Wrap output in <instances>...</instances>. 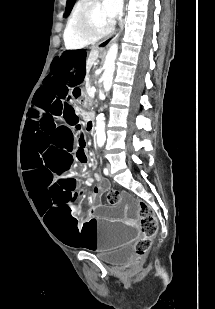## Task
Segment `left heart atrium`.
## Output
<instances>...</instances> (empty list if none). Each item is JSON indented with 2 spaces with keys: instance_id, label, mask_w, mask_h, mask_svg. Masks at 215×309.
Returning a JSON list of instances; mask_svg holds the SVG:
<instances>
[{
  "instance_id": "obj_1",
  "label": "left heart atrium",
  "mask_w": 215,
  "mask_h": 309,
  "mask_svg": "<svg viewBox=\"0 0 215 309\" xmlns=\"http://www.w3.org/2000/svg\"><path fill=\"white\" fill-rule=\"evenodd\" d=\"M106 9L102 13L101 20H116L120 12H123L124 7L120 5V0H106Z\"/></svg>"
}]
</instances>
